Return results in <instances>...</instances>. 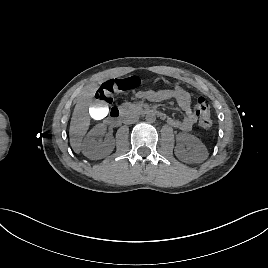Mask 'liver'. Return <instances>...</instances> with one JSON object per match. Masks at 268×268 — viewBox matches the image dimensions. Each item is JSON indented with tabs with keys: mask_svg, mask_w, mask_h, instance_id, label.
I'll list each match as a JSON object with an SVG mask.
<instances>
[{
	"mask_svg": "<svg viewBox=\"0 0 268 268\" xmlns=\"http://www.w3.org/2000/svg\"><path fill=\"white\" fill-rule=\"evenodd\" d=\"M96 85L88 86L78 97L69 128L70 145L76 152H80L81 140L90 126L88 108L93 106V97L97 90Z\"/></svg>",
	"mask_w": 268,
	"mask_h": 268,
	"instance_id": "1",
	"label": "liver"
}]
</instances>
